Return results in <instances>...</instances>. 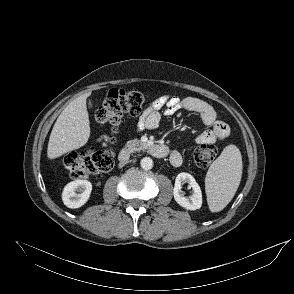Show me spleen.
I'll return each mask as SVG.
<instances>
[{
	"label": "spleen",
	"mask_w": 294,
	"mask_h": 294,
	"mask_svg": "<svg viewBox=\"0 0 294 294\" xmlns=\"http://www.w3.org/2000/svg\"><path fill=\"white\" fill-rule=\"evenodd\" d=\"M242 176V157L235 145H228L210 166L206 178L209 209L219 212L234 197Z\"/></svg>",
	"instance_id": "obj_1"
}]
</instances>
